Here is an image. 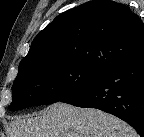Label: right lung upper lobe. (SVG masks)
Instances as JSON below:
<instances>
[{
	"instance_id": "obj_1",
	"label": "right lung upper lobe",
	"mask_w": 144,
	"mask_h": 137,
	"mask_svg": "<svg viewBox=\"0 0 144 137\" xmlns=\"http://www.w3.org/2000/svg\"><path fill=\"white\" fill-rule=\"evenodd\" d=\"M144 52V24L128 7L90 1L57 16L33 40L19 67L72 61L105 71Z\"/></svg>"
}]
</instances>
